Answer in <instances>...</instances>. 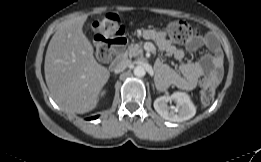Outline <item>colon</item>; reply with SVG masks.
I'll list each match as a JSON object with an SVG mask.
<instances>
[{"label":"colon","instance_id":"1","mask_svg":"<svg viewBox=\"0 0 261 162\" xmlns=\"http://www.w3.org/2000/svg\"><path fill=\"white\" fill-rule=\"evenodd\" d=\"M95 33V52L101 60H108L112 55V46L126 42L125 28L120 17L115 13H108L93 23ZM168 36L176 43L191 42L198 34V28L183 20H172L166 28ZM216 81L205 77L199 83L200 98L204 105L213 101Z\"/></svg>","mask_w":261,"mask_h":162}]
</instances>
